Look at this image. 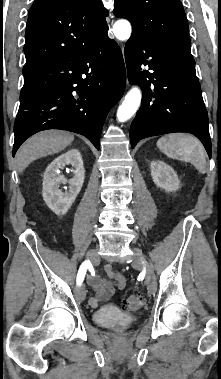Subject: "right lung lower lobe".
I'll return each mask as SVG.
<instances>
[{
	"instance_id": "1",
	"label": "right lung lower lobe",
	"mask_w": 221,
	"mask_h": 379,
	"mask_svg": "<svg viewBox=\"0 0 221 379\" xmlns=\"http://www.w3.org/2000/svg\"><path fill=\"white\" fill-rule=\"evenodd\" d=\"M13 156L31 135L62 129L99 149L108 111L122 97L126 71L118 44L105 34L90 47L23 72Z\"/></svg>"
}]
</instances>
